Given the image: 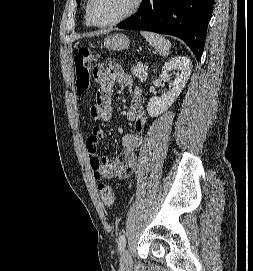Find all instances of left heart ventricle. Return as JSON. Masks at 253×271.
<instances>
[{"mask_svg":"<svg viewBox=\"0 0 253 271\" xmlns=\"http://www.w3.org/2000/svg\"><path fill=\"white\" fill-rule=\"evenodd\" d=\"M134 0H94L93 15L99 23L111 22L125 14Z\"/></svg>","mask_w":253,"mask_h":271,"instance_id":"obj_1","label":"left heart ventricle"}]
</instances>
